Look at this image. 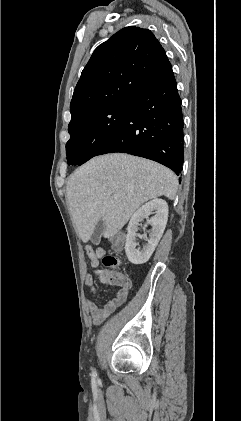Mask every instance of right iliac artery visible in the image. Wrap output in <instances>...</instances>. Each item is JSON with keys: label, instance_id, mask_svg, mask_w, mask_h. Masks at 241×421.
I'll return each instance as SVG.
<instances>
[{"label": "right iliac artery", "instance_id": "82829eb1", "mask_svg": "<svg viewBox=\"0 0 241 421\" xmlns=\"http://www.w3.org/2000/svg\"><path fill=\"white\" fill-rule=\"evenodd\" d=\"M92 375H93V377H95V376H96V372H95V371H93V372H92Z\"/></svg>", "mask_w": 241, "mask_h": 421}]
</instances>
